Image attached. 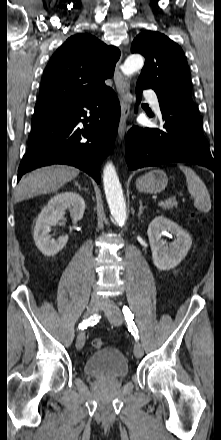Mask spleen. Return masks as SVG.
Instances as JSON below:
<instances>
[{"mask_svg": "<svg viewBox=\"0 0 221 440\" xmlns=\"http://www.w3.org/2000/svg\"><path fill=\"white\" fill-rule=\"evenodd\" d=\"M186 177L188 191L194 197V206L197 210L208 213L211 209V199L204 182L190 167L179 165Z\"/></svg>", "mask_w": 221, "mask_h": 440, "instance_id": "3e777b00", "label": "spleen"}]
</instances>
